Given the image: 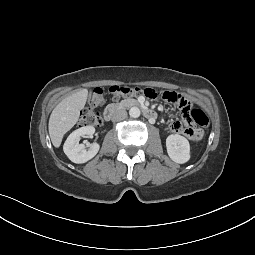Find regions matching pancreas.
Masks as SVG:
<instances>
[{"instance_id": "obj_1", "label": "pancreas", "mask_w": 255, "mask_h": 255, "mask_svg": "<svg viewBox=\"0 0 255 255\" xmlns=\"http://www.w3.org/2000/svg\"><path fill=\"white\" fill-rule=\"evenodd\" d=\"M129 101H130V99L123 100V101L121 102V104H126V103H128ZM133 102L136 103V100H134Z\"/></svg>"}]
</instances>
